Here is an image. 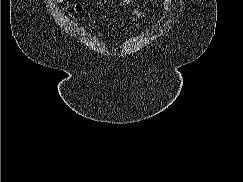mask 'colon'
Listing matches in <instances>:
<instances>
[{
	"instance_id": "1",
	"label": "colon",
	"mask_w": 243,
	"mask_h": 182,
	"mask_svg": "<svg viewBox=\"0 0 243 182\" xmlns=\"http://www.w3.org/2000/svg\"><path fill=\"white\" fill-rule=\"evenodd\" d=\"M131 0H122L123 3L127 4L129 3ZM76 11L80 12L82 10V6L81 5H76L75 7Z\"/></svg>"
}]
</instances>
